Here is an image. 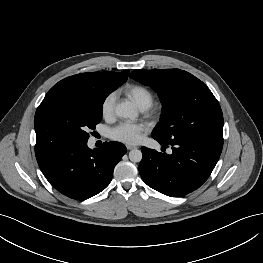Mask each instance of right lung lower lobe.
<instances>
[{"mask_svg":"<svg viewBox=\"0 0 263 263\" xmlns=\"http://www.w3.org/2000/svg\"><path fill=\"white\" fill-rule=\"evenodd\" d=\"M126 151L119 142H105L93 150L84 142L55 151L37 161L55 189L69 198L84 200L109 185L114 167Z\"/></svg>","mask_w":263,"mask_h":263,"instance_id":"1","label":"right lung lower lobe"}]
</instances>
